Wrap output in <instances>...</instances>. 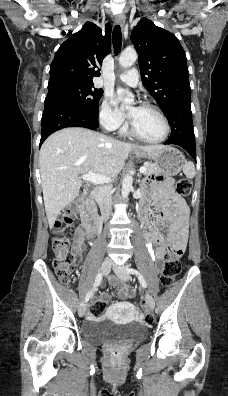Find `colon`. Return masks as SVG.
<instances>
[{
  "label": "colon",
  "instance_id": "5ec220e1",
  "mask_svg": "<svg viewBox=\"0 0 228 396\" xmlns=\"http://www.w3.org/2000/svg\"><path fill=\"white\" fill-rule=\"evenodd\" d=\"M171 182L170 179H167ZM177 192L188 197L191 192V183L186 178H181L175 182ZM75 218V207H69L62 211L53 224L52 251L54 253L53 266L57 276L63 284H68L75 270V253L71 250L70 234L71 225ZM183 250L172 248L167 254V259L163 265L161 283L165 287L174 284L181 272L180 259ZM104 306L100 302L91 305L88 315L90 318H98L103 314Z\"/></svg>",
  "mask_w": 228,
  "mask_h": 396
}]
</instances>
